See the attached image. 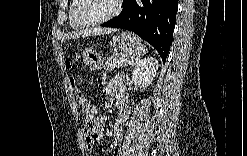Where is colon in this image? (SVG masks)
Returning <instances> with one entry per match:
<instances>
[{"label":"colon","instance_id":"obj_1","mask_svg":"<svg viewBox=\"0 0 247 156\" xmlns=\"http://www.w3.org/2000/svg\"><path fill=\"white\" fill-rule=\"evenodd\" d=\"M103 111L102 104H95V107H89L84 116V121H82V126L84 127L85 134L90 138L98 137L99 130V121H100V112Z\"/></svg>","mask_w":247,"mask_h":156}]
</instances>
